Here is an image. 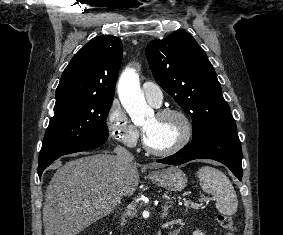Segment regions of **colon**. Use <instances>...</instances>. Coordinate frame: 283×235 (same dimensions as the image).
Instances as JSON below:
<instances>
[{"instance_id": "colon-1", "label": "colon", "mask_w": 283, "mask_h": 235, "mask_svg": "<svg viewBox=\"0 0 283 235\" xmlns=\"http://www.w3.org/2000/svg\"><path fill=\"white\" fill-rule=\"evenodd\" d=\"M217 221L219 225L226 230V235H235V224L231 216L226 214H218Z\"/></svg>"}]
</instances>
